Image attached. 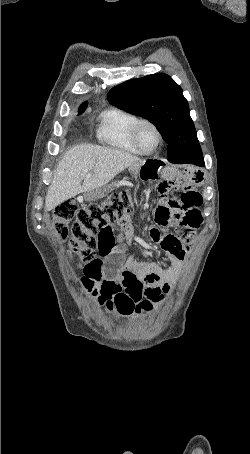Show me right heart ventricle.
Returning <instances> with one entry per match:
<instances>
[{"label":"right heart ventricle","mask_w":250,"mask_h":454,"mask_svg":"<svg viewBox=\"0 0 250 454\" xmlns=\"http://www.w3.org/2000/svg\"><path fill=\"white\" fill-rule=\"evenodd\" d=\"M138 118L119 107H110L100 115L96 136L102 143L131 154H142L135 146L131 130Z\"/></svg>","instance_id":"1"}]
</instances>
